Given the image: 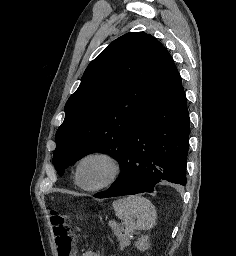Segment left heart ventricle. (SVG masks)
<instances>
[{"label": "left heart ventricle", "mask_w": 236, "mask_h": 256, "mask_svg": "<svg viewBox=\"0 0 236 256\" xmlns=\"http://www.w3.org/2000/svg\"><path fill=\"white\" fill-rule=\"evenodd\" d=\"M113 172L111 163L103 157L87 159L81 166V180L84 185L92 187L105 182Z\"/></svg>", "instance_id": "b2bd125f"}]
</instances>
